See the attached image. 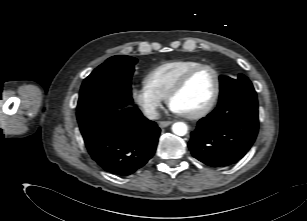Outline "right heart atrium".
<instances>
[{
  "instance_id": "obj_1",
  "label": "right heart atrium",
  "mask_w": 307,
  "mask_h": 221,
  "mask_svg": "<svg viewBox=\"0 0 307 221\" xmlns=\"http://www.w3.org/2000/svg\"><path fill=\"white\" fill-rule=\"evenodd\" d=\"M131 97L147 118L157 117L162 98L153 94L145 85L135 86L131 91Z\"/></svg>"
}]
</instances>
